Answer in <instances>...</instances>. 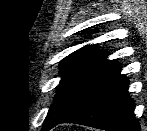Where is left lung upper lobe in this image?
<instances>
[{"instance_id": "1", "label": "left lung upper lobe", "mask_w": 147, "mask_h": 131, "mask_svg": "<svg viewBox=\"0 0 147 131\" xmlns=\"http://www.w3.org/2000/svg\"><path fill=\"white\" fill-rule=\"evenodd\" d=\"M62 79L42 131H48L75 113L121 65L108 61L106 54L93 45L85 46L62 60Z\"/></svg>"}]
</instances>
